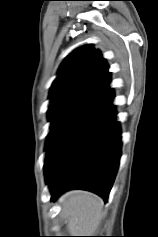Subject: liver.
<instances>
[{"label": "liver", "instance_id": "liver-1", "mask_svg": "<svg viewBox=\"0 0 158 237\" xmlns=\"http://www.w3.org/2000/svg\"><path fill=\"white\" fill-rule=\"evenodd\" d=\"M62 215L71 236H92L103 218L104 203L87 191L74 190L60 198Z\"/></svg>", "mask_w": 158, "mask_h": 237}]
</instances>
